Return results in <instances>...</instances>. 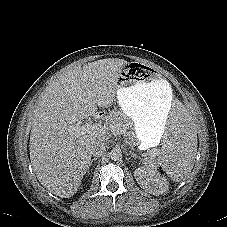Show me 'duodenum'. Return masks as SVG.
Masks as SVG:
<instances>
[{
  "instance_id": "obj_1",
  "label": "duodenum",
  "mask_w": 227,
  "mask_h": 227,
  "mask_svg": "<svg viewBox=\"0 0 227 227\" xmlns=\"http://www.w3.org/2000/svg\"><path fill=\"white\" fill-rule=\"evenodd\" d=\"M93 118L97 120V119L100 118V116L98 114H96V115L93 116Z\"/></svg>"
}]
</instances>
